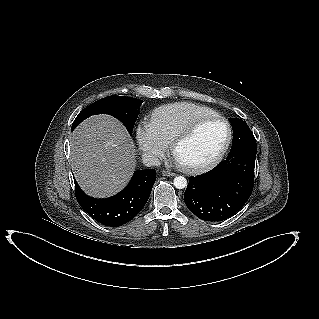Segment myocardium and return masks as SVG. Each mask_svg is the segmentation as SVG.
<instances>
[{
    "label": "myocardium",
    "instance_id": "myocardium-1",
    "mask_svg": "<svg viewBox=\"0 0 319 319\" xmlns=\"http://www.w3.org/2000/svg\"><path fill=\"white\" fill-rule=\"evenodd\" d=\"M213 119L220 120L221 122L224 123V125L226 127V138H225L224 143L222 144V146L218 150V152L210 160H208L207 162L202 163V164L187 165V164H182V163L178 162L175 159L176 148L182 142L187 140L195 132V130L199 127V125H201L202 123H204L206 121L213 120ZM231 140H232V128H231L229 121L225 117H223L217 113L208 114V115L200 116V117L193 119L189 124H187L173 138V140L170 143V153L174 157L177 164L179 165V167L183 171H185L187 173H191V174H198V173H202V172H205V171L212 169L223 159L224 155L226 154V152L230 146Z\"/></svg>",
    "mask_w": 319,
    "mask_h": 319
}]
</instances>
